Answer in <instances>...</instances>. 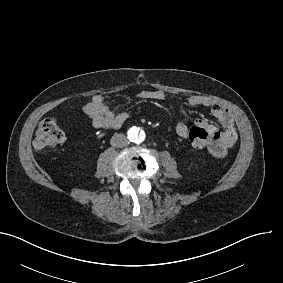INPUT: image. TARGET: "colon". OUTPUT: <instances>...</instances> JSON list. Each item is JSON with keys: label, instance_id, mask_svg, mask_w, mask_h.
Here are the masks:
<instances>
[{"label": "colon", "instance_id": "5ec220e1", "mask_svg": "<svg viewBox=\"0 0 283 283\" xmlns=\"http://www.w3.org/2000/svg\"><path fill=\"white\" fill-rule=\"evenodd\" d=\"M187 125L191 124L190 120L186 121ZM213 131L204 127H193L189 136L194 149H203L210 145ZM66 134L61 127L58 118L49 117L41 121L36 129L34 136V148L38 150L48 149L58 143L65 141Z\"/></svg>", "mask_w": 283, "mask_h": 283}]
</instances>
